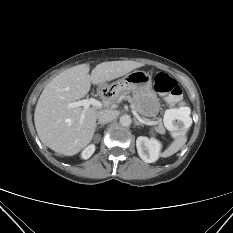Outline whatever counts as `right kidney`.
<instances>
[{
	"instance_id": "right-kidney-1",
	"label": "right kidney",
	"mask_w": 233,
	"mask_h": 233,
	"mask_svg": "<svg viewBox=\"0 0 233 233\" xmlns=\"http://www.w3.org/2000/svg\"><path fill=\"white\" fill-rule=\"evenodd\" d=\"M95 151V145L94 144H90L88 145L81 153V158L82 159H88L90 158L93 153Z\"/></svg>"
}]
</instances>
